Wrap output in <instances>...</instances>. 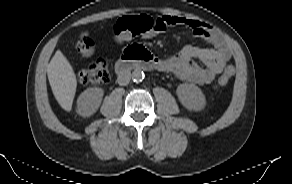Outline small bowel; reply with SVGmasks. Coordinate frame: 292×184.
Segmentation results:
<instances>
[{
  "mask_svg": "<svg viewBox=\"0 0 292 184\" xmlns=\"http://www.w3.org/2000/svg\"><path fill=\"white\" fill-rule=\"evenodd\" d=\"M161 32L182 25L191 29L195 37L206 40L211 47L186 45L180 52L163 60L164 69L178 78L195 84L211 83L231 58L230 49L222 35L212 26L176 15H164L155 19ZM202 63L199 65L195 62Z\"/></svg>",
  "mask_w": 292,
  "mask_h": 184,
  "instance_id": "1",
  "label": "small bowel"
}]
</instances>
